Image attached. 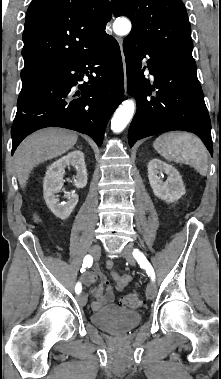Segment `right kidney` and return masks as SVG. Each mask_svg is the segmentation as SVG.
Masks as SVG:
<instances>
[{"label":"right kidney","mask_w":221,"mask_h":379,"mask_svg":"<svg viewBox=\"0 0 221 379\" xmlns=\"http://www.w3.org/2000/svg\"><path fill=\"white\" fill-rule=\"evenodd\" d=\"M75 167L77 175L74 178L76 188H84L87 184V170L84 154L75 150L53 162L46 171L43 181V195L45 202L54 215L62 220L67 219L78 203L79 197L76 193H68L64 197L67 202L59 203L56 198L63 186V175L67 166Z\"/></svg>","instance_id":"obj_1"}]
</instances>
